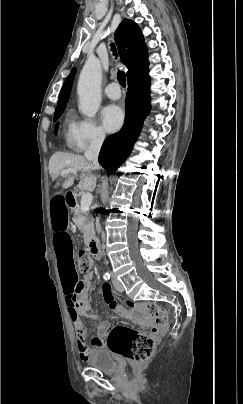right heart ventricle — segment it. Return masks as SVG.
<instances>
[{
	"instance_id": "obj_1",
	"label": "right heart ventricle",
	"mask_w": 243,
	"mask_h": 404,
	"mask_svg": "<svg viewBox=\"0 0 243 404\" xmlns=\"http://www.w3.org/2000/svg\"><path fill=\"white\" fill-rule=\"evenodd\" d=\"M71 117H67L66 119H65V131H66V134H65V136L67 137V133H68V128H69V126H70V123H71Z\"/></svg>"
}]
</instances>
